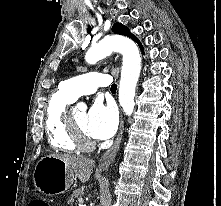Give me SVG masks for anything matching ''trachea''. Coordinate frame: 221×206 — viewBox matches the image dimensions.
<instances>
[{"mask_svg": "<svg viewBox=\"0 0 221 206\" xmlns=\"http://www.w3.org/2000/svg\"><path fill=\"white\" fill-rule=\"evenodd\" d=\"M116 90H117V85L116 84H112L111 91H116Z\"/></svg>", "mask_w": 221, "mask_h": 206, "instance_id": "obj_1", "label": "trachea"}]
</instances>
